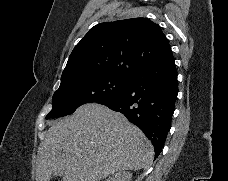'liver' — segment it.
Listing matches in <instances>:
<instances>
[{"mask_svg":"<svg viewBox=\"0 0 228 181\" xmlns=\"http://www.w3.org/2000/svg\"><path fill=\"white\" fill-rule=\"evenodd\" d=\"M49 127L38 151L36 181H50L53 173H61L63 181H102L153 161L151 141L104 105L87 103Z\"/></svg>","mask_w":228,"mask_h":181,"instance_id":"1","label":"liver"}]
</instances>
